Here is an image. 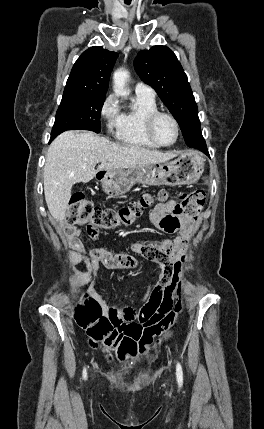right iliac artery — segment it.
Masks as SVG:
<instances>
[{
    "instance_id": "1",
    "label": "right iliac artery",
    "mask_w": 264,
    "mask_h": 429,
    "mask_svg": "<svg viewBox=\"0 0 264 429\" xmlns=\"http://www.w3.org/2000/svg\"><path fill=\"white\" fill-rule=\"evenodd\" d=\"M83 378L86 380L87 379V372H86V369L84 368V370H83Z\"/></svg>"
}]
</instances>
